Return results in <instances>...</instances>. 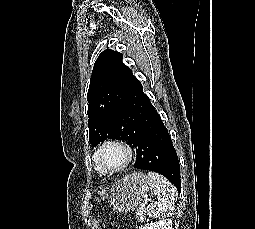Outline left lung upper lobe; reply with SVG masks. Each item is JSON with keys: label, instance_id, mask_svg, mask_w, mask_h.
<instances>
[{"label": "left lung upper lobe", "instance_id": "left-lung-upper-lobe-1", "mask_svg": "<svg viewBox=\"0 0 255 229\" xmlns=\"http://www.w3.org/2000/svg\"><path fill=\"white\" fill-rule=\"evenodd\" d=\"M134 79L131 69L122 62L121 53L107 49L97 58L87 93L91 144L96 146L109 138L132 144L117 113Z\"/></svg>", "mask_w": 255, "mask_h": 229}]
</instances>
